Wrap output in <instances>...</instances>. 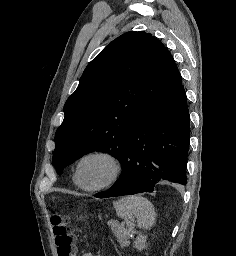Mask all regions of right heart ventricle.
Segmentation results:
<instances>
[{
  "instance_id": "obj_1",
  "label": "right heart ventricle",
  "mask_w": 236,
  "mask_h": 256,
  "mask_svg": "<svg viewBox=\"0 0 236 256\" xmlns=\"http://www.w3.org/2000/svg\"><path fill=\"white\" fill-rule=\"evenodd\" d=\"M72 182L74 185H78L76 177H75V167H74L73 174H72Z\"/></svg>"
}]
</instances>
